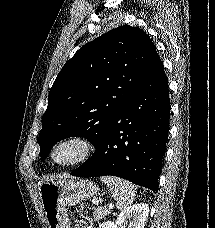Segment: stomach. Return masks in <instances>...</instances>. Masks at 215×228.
Returning <instances> with one entry per match:
<instances>
[{"label":"stomach","mask_w":215,"mask_h":228,"mask_svg":"<svg viewBox=\"0 0 215 228\" xmlns=\"http://www.w3.org/2000/svg\"><path fill=\"white\" fill-rule=\"evenodd\" d=\"M98 188L90 180H44L39 186V196L48 228H70L69 206L80 200H92Z\"/></svg>","instance_id":"1"}]
</instances>
